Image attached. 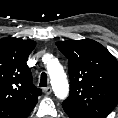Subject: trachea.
I'll return each mask as SVG.
<instances>
[{"label":"trachea","instance_id":"1","mask_svg":"<svg viewBox=\"0 0 118 118\" xmlns=\"http://www.w3.org/2000/svg\"><path fill=\"white\" fill-rule=\"evenodd\" d=\"M40 87H46L47 86V74L43 72L40 76Z\"/></svg>","mask_w":118,"mask_h":118}]
</instances>
